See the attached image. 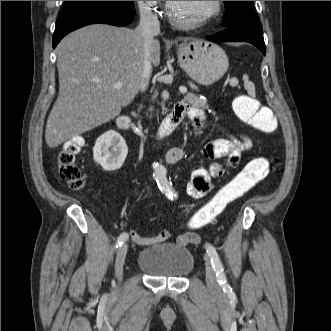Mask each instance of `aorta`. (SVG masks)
I'll return each instance as SVG.
<instances>
[{
	"instance_id": "762f6f07",
	"label": "aorta",
	"mask_w": 331,
	"mask_h": 331,
	"mask_svg": "<svg viewBox=\"0 0 331 331\" xmlns=\"http://www.w3.org/2000/svg\"><path fill=\"white\" fill-rule=\"evenodd\" d=\"M154 176L156 178H162L165 176V169L162 165H160V164L154 165Z\"/></svg>"
}]
</instances>
